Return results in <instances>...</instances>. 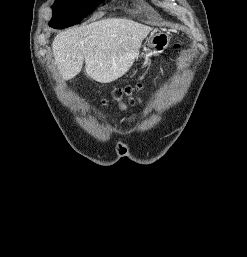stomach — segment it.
Listing matches in <instances>:
<instances>
[{"instance_id":"1","label":"stomach","mask_w":247,"mask_h":257,"mask_svg":"<svg viewBox=\"0 0 247 257\" xmlns=\"http://www.w3.org/2000/svg\"><path fill=\"white\" fill-rule=\"evenodd\" d=\"M170 35L168 33H158L148 37L144 43L143 51L149 54L162 53L170 43Z\"/></svg>"}]
</instances>
